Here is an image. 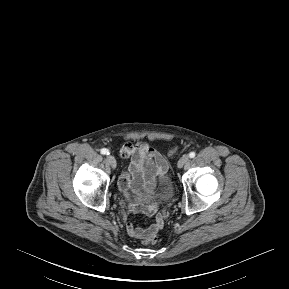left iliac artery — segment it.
<instances>
[{"instance_id": "44dca946", "label": "left iliac artery", "mask_w": 289, "mask_h": 289, "mask_svg": "<svg viewBox=\"0 0 289 289\" xmlns=\"http://www.w3.org/2000/svg\"><path fill=\"white\" fill-rule=\"evenodd\" d=\"M195 155H196L195 152H190V153H189V157H190V158H194Z\"/></svg>"}]
</instances>
